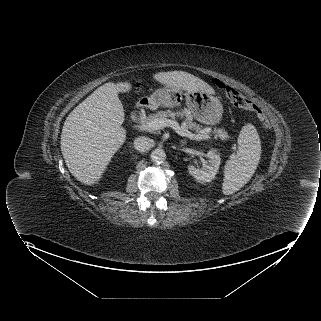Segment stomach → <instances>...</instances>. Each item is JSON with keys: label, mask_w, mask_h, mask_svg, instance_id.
<instances>
[{"label": "stomach", "mask_w": 321, "mask_h": 321, "mask_svg": "<svg viewBox=\"0 0 321 321\" xmlns=\"http://www.w3.org/2000/svg\"><path fill=\"white\" fill-rule=\"evenodd\" d=\"M183 96L197 121L207 125L220 122L223 113L222 104L217 97L205 91H185L164 86L155 90L149 97H146V100L150 108L157 109L159 106L175 107L179 105Z\"/></svg>", "instance_id": "obj_1"}]
</instances>
